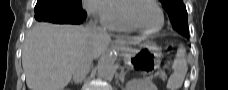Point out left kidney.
I'll return each instance as SVG.
<instances>
[{
  "instance_id": "left-kidney-1",
  "label": "left kidney",
  "mask_w": 228,
  "mask_h": 90,
  "mask_svg": "<svg viewBox=\"0 0 228 90\" xmlns=\"http://www.w3.org/2000/svg\"><path fill=\"white\" fill-rule=\"evenodd\" d=\"M126 90H157L148 79L131 80L126 84Z\"/></svg>"
}]
</instances>
